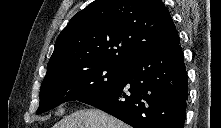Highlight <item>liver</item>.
Returning a JSON list of instances; mask_svg holds the SVG:
<instances>
[{
    "label": "liver",
    "mask_w": 221,
    "mask_h": 128,
    "mask_svg": "<svg viewBox=\"0 0 221 128\" xmlns=\"http://www.w3.org/2000/svg\"><path fill=\"white\" fill-rule=\"evenodd\" d=\"M53 128H130L115 117L95 108L82 109L66 116Z\"/></svg>",
    "instance_id": "1"
}]
</instances>
